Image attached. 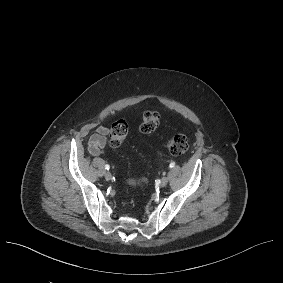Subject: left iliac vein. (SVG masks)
Wrapping results in <instances>:
<instances>
[{"instance_id": "1", "label": "left iliac vein", "mask_w": 283, "mask_h": 283, "mask_svg": "<svg viewBox=\"0 0 283 283\" xmlns=\"http://www.w3.org/2000/svg\"><path fill=\"white\" fill-rule=\"evenodd\" d=\"M168 184V177L164 176L160 179L159 181V185L161 187H165Z\"/></svg>"}]
</instances>
